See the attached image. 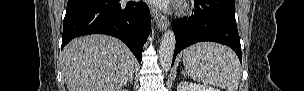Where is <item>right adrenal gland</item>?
I'll use <instances>...</instances> for the list:
<instances>
[{"label":"right adrenal gland","mask_w":304,"mask_h":91,"mask_svg":"<svg viewBox=\"0 0 304 91\" xmlns=\"http://www.w3.org/2000/svg\"><path fill=\"white\" fill-rule=\"evenodd\" d=\"M128 83H130V84L133 83V76L130 78V80L128 81Z\"/></svg>","instance_id":"1"}]
</instances>
